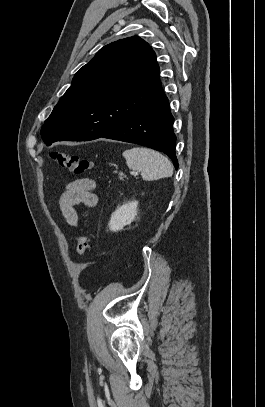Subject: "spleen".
<instances>
[{"mask_svg":"<svg viewBox=\"0 0 265 407\" xmlns=\"http://www.w3.org/2000/svg\"><path fill=\"white\" fill-rule=\"evenodd\" d=\"M123 157L130 169L141 172L144 180H158L170 177L173 174V166L169 159L155 150L134 147L125 150Z\"/></svg>","mask_w":265,"mask_h":407,"instance_id":"obj_1","label":"spleen"}]
</instances>
